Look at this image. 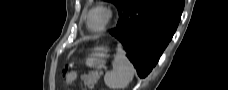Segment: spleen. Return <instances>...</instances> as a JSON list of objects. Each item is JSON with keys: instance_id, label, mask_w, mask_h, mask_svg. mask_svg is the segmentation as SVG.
Returning a JSON list of instances; mask_svg holds the SVG:
<instances>
[{"instance_id": "1", "label": "spleen", "mask_w": 228, "mask_h": 90, "mask_svg": "<svg viewBox=\"0 0 228 90\" xmlns=\"http://www.w3.org/2000/svg\"><path fill=\"white\" fill-rule=\"evenodd\" d=\"M133 76L134 67L126 57L125 51L118 45L113 61V70L105 74V84L109 88L123 89L130 84Z\"/></svg>"}]
</instances>
